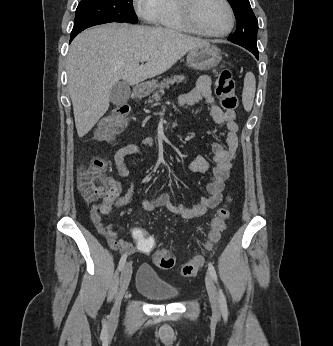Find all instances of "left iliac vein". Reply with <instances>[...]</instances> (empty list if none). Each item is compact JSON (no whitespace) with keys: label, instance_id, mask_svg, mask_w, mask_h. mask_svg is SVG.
I'll return each instance as SVG.
<instances>
[{"label":"left iliac vein","instance_id":"left-iliac-vein-1","mask_svg":"<svg viewBox=\"0 0 333 346\" xmlns=\"http://www.w3.org/2000/svg\"><path fill=\"white\" fill-rule=\"evenodd\" d=\"M206 289L210 301L211 308L215 314L220 313V304L217 289L209 274L206 275L205 279Z\"/></svg>","mask_w":333,"mask_h":346}]
</instances>
